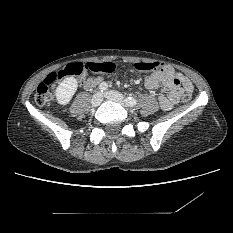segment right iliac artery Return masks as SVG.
Here are the masks:
<instances>
[{
	"label": "right iliac artery",
	"mask_w": 233,
	"mask_h": 233,
	"mask_svg": "<svg viewBox=\"0 0 233 233\" xmlns=\"http://www.w3.org/2000/svg\"><path fill=\"white\" fill-rule=\"evenodd\" d=\"M107 88H108V85H107V83H105V82H103V83H101V84L99 85V90H100L101 92H104L105 90H107Z\"/></svg>",
	"instance_id": "1"
}]
</instances>
